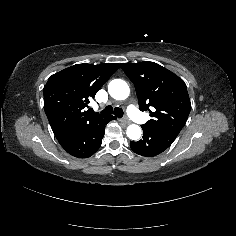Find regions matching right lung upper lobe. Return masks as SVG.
Returning <instances> with one entry per match:
<instances>
[{"mask_svg": "<svg viewBox=\"0 0 236 236\" xmlns=\"http://www.w3.org/2000/svg\"><path fill=\"white\" fill-rule=\"evenodd\" d=\"M119 64H76L49 77L43 89L44 109L56 137L74 128L109 116L84 108Z\"/></svg>", "mask_w": 236, "mask_h": 236, "instance_id": "obj_1", "label": "right lung upper lobe"}]
</instances>
